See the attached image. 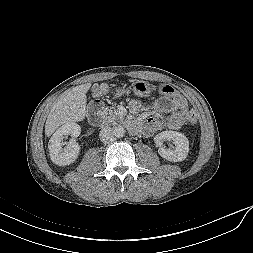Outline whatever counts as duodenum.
Segmentation results:
<instances>
[{
	"instance_id": "1",
	"label": "duodenum",
	"mask_w": 253,
	"mask_h": 253,
	"mask_svg": "<svg viewBox=\"0 0 253 253\" xmlns=\"http://www.w3.org/2000/svg\"><path fill=\"white\" fill-rule=\"evenodd\" d=\"M102 104L99 102H92L88 110V120L93 126H99L102 123ZM128 127L131 131L138 130V126L135 123L129 122Z\"/></svg>"
}]
</instances>
